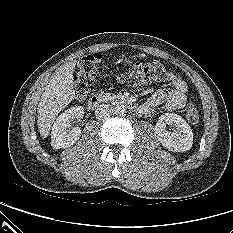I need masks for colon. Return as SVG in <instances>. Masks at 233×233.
I'll return each instance as SVG.
<instances>
[{
  "label": "colon",
  "mask_w": 233,
  "mask_h": 233,
  "mask_svg": "<svg viewBox=\"0 0 233 233\" xmlns=\"http://www.w3.org/2000/svg\"><path fill=\"white\" fill-rule=\"evenodd\" d=\"M102 56L91 54L83 57L75 75V97L77 100L86 99L94 88V83L103 76L101 66ZM119 81H127L133 85L158 83L171 80L173 74L158 61L136 63L128 71L114 75ZM188 122L196 124L200 119V110L194 102H189L185 109Z\"/></svg>",
  "instance_id": "1"
}]
</instances>
